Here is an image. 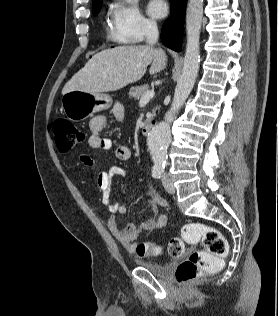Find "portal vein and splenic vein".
<instances>
[{"label": "portal vein and splenic vein", "instance_id": "obj_1", "mask_svg": "<svg viewBox=\"0 0 278 316\" xmlns=\"http://www.w3.org/2000/svg\"><path fill=\"white\" fill-rule=\"evenodd\" d=\"M155 95L154 89L148 90L140 99V104L150 101Z\"/></svg>", "mask_w": 278, "mask_h": 316}]
</instances>
